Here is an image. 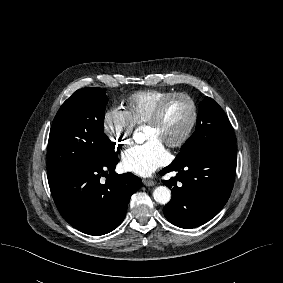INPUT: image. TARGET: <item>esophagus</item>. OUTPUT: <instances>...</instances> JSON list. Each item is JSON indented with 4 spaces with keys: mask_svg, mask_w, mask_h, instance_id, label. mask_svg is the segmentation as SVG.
<instances>
[{
    "mask_svg": "<svg viewBox=\"0 0 283 283\" xmlns=\"http://www.w3.org/2000/svg\"><path fill=\"white\" fill-rule=\"evenodd\" d=\"M143 184L145 186H154L156 184V182L153 181V180H149V179H143Z\"/></svg>",
    "mask_w": 283,
    "mask_h": 283,
    "instance_id": "1",
    "label": "esophagus"
}]
</instances>
